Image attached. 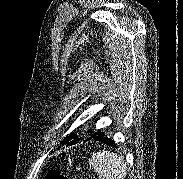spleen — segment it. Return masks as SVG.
Listing matches in <instances>:
<instances>
[{
  "mask_svg": "<svg viewBox=\"0 0 183 179\" xmlns=\"http://www.w3.org/2000/svg\"><path fill=\"white\" fill-rule=\"evenodd\" d=\"M89 165L98 173L99 179H124L127 166L124 160L110 151H99L89 159Z\"/></svg>",
  "mask_w": 183,
  "mask_h": 179,
  "instance_id": "obj_1",
  "label": "spleen"
}]
</instances>
